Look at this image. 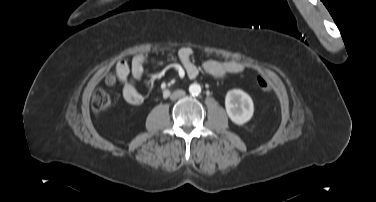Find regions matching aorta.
I'll return each instance as SVG.
<instances>
[{
    "instance_id": "aorta-1",
    "label": "aorta",
    "mask_w": 376,
    "mask_h": 202,
    "mask_svg": "<svg viewBox=\"0 0 376 202\" xmlns=\"http://www.w3.org/2000/svg\"><path fill=\"white\" fill-rule=\"evenodd\" d=\"M189 92L193 96H197L201 93V86L198 83H193L189 86Z\"/></svg>"
}]
</instances>
